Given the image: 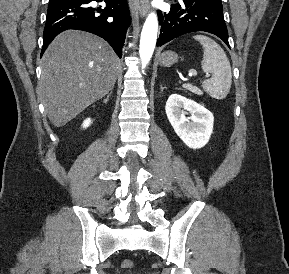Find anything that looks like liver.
Wrapping results in <instances>:
<instances>
[{"label":"liver","instance_id":"1","mask_svg":"<svg viewBox=\"0 0 289 274\" xmlns=\"http://www.w3.org/2000/svg\"><path fill=\"white\" fill-rule=\"evenodd\" d=\"M119 58L103 39L82 31L58 35L42 57L37 94L51 123L64 126L113 88Z\"/></svg>","mask_w":289,"mask_h":274}]
</instances>
